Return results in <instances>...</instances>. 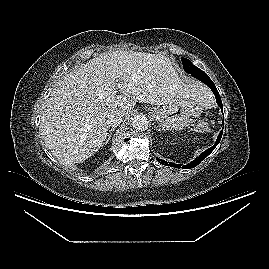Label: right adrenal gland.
<instances>
[{"label": "right adrenal gland", "mask_w": 269, "mask_h": 269, "mask_svg": "<svg viewBox=\"0 0 269 269\" xmlns=\"http://www.w3.org/2000/svg\"><path fill=\"white\" fill-rule=\"evenodd\" d=\"M114 130H115V128H111V129L109 130L108 137H107V139H106V141H105L104 144H107V143L109 142V140H110V138H111V134H112V132H113Z\"/></svg>", "instance_id": "1"}]
</instances>
